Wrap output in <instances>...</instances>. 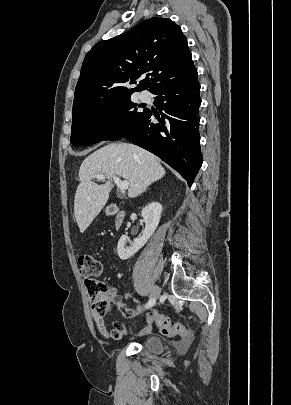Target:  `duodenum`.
<instances>
[{
    "label": "duodenum",
    "instance_id": "duodenum-1",
    "mask_svg": "<svg viewBox=\"0 0 291 405\" xmlns=\"http://www.w3.org/2000/svg\"><path fill=\"white\" fill-rule=\"evenodd\" d=\"M112 212H114L116 214L115 217V225L117 228H119L124 220V212L122 211H117L115 208L112 209Z\"/></svg>",
    "mask_w": 291,
    "mask_h": 405
}]
</instances>
